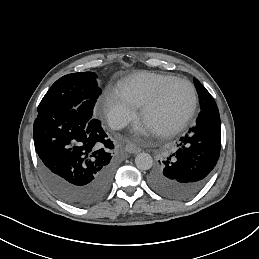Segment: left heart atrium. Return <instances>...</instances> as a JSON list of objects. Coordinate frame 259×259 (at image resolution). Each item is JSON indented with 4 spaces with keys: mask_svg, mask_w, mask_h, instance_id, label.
Here are the masks:
<instances>
[{
    "mask_svg": "<svg viewBox=\"0 0 259 259\" xmlns=\"http://www.w3.org/2000/svg\"><path fill=\"white\" fill-rule=\"evenodd\" d=\"M135 130H136V132H139V131H140L138 127H135Z\"/></svg>",
    "mask_w": 259,
    "mask_h": 259,
    "instance_id": "obj_1",
    "label": "left heart atrium"
}]
</instances>
